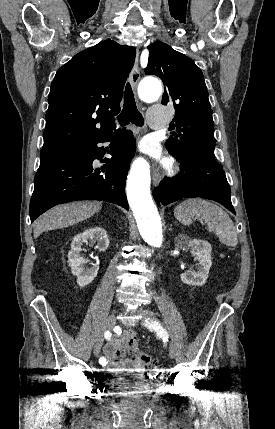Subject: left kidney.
<instances>
[{
    "label": "left kidney",
    "mask_w": 275,
    "mask_h": 429,
    "mask_svg": "<svg viewBox=\"0 0 275 429\" xmlns=\"http://www.w3.org/2000/svg\"><path fill=\"white\" fill-rule=\"evenodd\" d=\"M176 245L179 248L192 247L196 249L195 260L197 271H186L181 274V281L187 285L202 286L206 283L211 262V245L204 240L191 239L187 235L181 234L175 239Z\"/></svg>",
    "instance_id": "5707ae66"
}]
</instances>
